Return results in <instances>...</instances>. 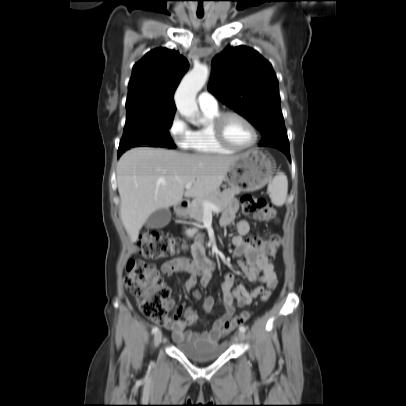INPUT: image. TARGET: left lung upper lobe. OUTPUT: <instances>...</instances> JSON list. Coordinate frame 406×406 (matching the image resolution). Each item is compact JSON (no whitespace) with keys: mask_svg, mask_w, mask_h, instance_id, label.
Listing matches in <instances>:
<instances>
[{"mask_svg":"<svg viewBox=\"0 0 406 406\" xmlns=\"http://www.w3.org/2000/svg\"><path fill=\"white\" fill-rule=\"evenodd\" d=\"M208 90L261 133V146L289 148L278 80L257 51L228 46L212 60Z\"/></svg>","mask_w":406,"mask_h":406,"instance_id":"left-lung-upper-lobe-1","label":"left lung upper lobe"}]
</instances>
